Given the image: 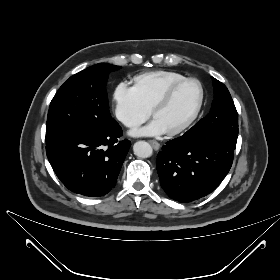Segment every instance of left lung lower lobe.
Here are the masks:
<instances>
[{
  "mask_svg": "<svg viewBox=\"0 0 280 280\" xmlns=\"http://www.w3.org/2000/svg\"><path fill=\"white\" fill-rule=\"evenodd\" d=\"M236 146L206 135H183L166 143L156 167L166 194L188 203L211 193L229 172Z\"/></svg>",
  "mask_w": 280,
  "mask_h": 280,
  "instance_id": "obj_1",
  "label": "left lung lower lobe"
}]
</instances>
